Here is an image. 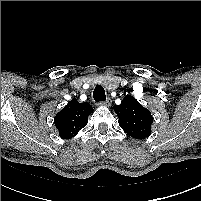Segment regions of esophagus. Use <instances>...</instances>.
Wrapping results in <instances>:
<instances>
[{
  "instance_id": "obj_1",
  "label": "esophagus",
  "mask_w": 201,
  "mask_h": 201,
  "mask_svg": "<svg viewBox=\"0 0 201 201\" xmlns=\"http://www.w3.org/2000/svg\"><path fill=\"white\" fill-rule=\"evenodd\" d=\"M112 104V100L110 98H107L105 101L99 102V106H106L109 107Z\"/></svg>"
}]
</instances>
